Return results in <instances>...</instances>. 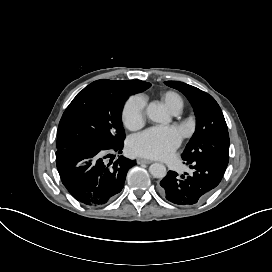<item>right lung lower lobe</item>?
Masks as SVG:
<instances>
[{"mask_svg": "<svg viewBox=\"0 0 272 272\" xmlns=\"http://www.w3.org/2000/svg\"><path fill=\"white\" fill-rule=\"evenodd\" d=\"M122 148L123 143L111 149L80 143L57 150V169L70 195L88 206H102L116 197L128 170L136 164L123 156L112 163L110 153H121ZM107 157L112 159L108 164L104 160Z\"/></svg>", "mask_w": 272, "mask_h": 272, "instance_id": "1", "label": "right lung lower lobe"}]
</instances>
